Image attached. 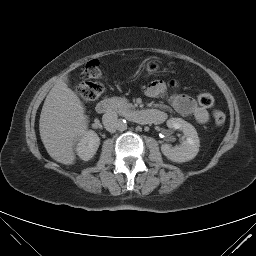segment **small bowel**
I'll return each instance as SVG.
<instances>
[{"label":"small bowel","instance_id":"small-bowel-1","mask_svg":"<svg viewBox=\"0 0 256 256\" xmlns=\"http://www.w3.org/2000/svg\"><path fill=\"white\" fill-rule=\"evenodd\" d=\"M166 91V84L162 80H153L148 84L145 92L149 97L158 98L164 96ZM169 102L177 113L192 116L199 124H205L209 120V112L188 95L175 93L169 97ZM154 111L159 113L164 121L165 114L157 109Z\"/></svg>","mask_w":256,"mask_h":256}]
</instances>
